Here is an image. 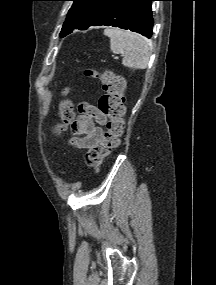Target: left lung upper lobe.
Listing matches in <instances>:
<instances>
[{"mask_svg":"<svg viewBox=\"0 0 216 285\" xmlns=\"http://www.w3.org/2000/svg\"><path fill=\"white\" fill-rule=\"evenodd\" d=\"M73 4L67 14L60 32L61 37L72 33L73 30H83L114 0H71Z\"/></svg>","mask_w":216,"mask_h":285,"instance_id":"5c2ea615","label":"left lung upper lobe"}]
</instances>
